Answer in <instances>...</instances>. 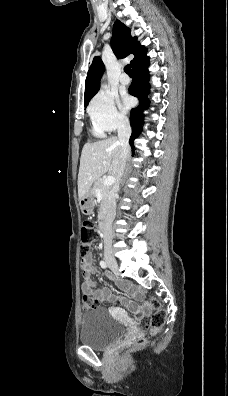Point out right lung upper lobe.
Here are the masks:
<instances>
[{"mask_svg":"<svg viewBox=\"0 0 228 396\" xmlns=\"http://www.w3.org/2000/svg\"><path fill=\"white\" fill-rule=\"evenodd\" d=\"M111 46L118 58H124L130 54H134L135 57L130 62L132 68L147 52L145 46L140 45L137 41V37H132L130 29L119 20H117L113 26ZM103 71L104 64L101 58L98 56L94 57L85 81L84 104H87L98 92Z\"/></svg>","mask_w":228,"mask_h":396,"instance_id":"right-lung-upper-lobe-1","label":"right lung upper lobe"}]
</instances>
